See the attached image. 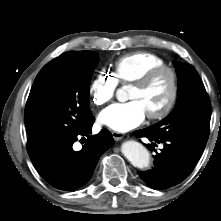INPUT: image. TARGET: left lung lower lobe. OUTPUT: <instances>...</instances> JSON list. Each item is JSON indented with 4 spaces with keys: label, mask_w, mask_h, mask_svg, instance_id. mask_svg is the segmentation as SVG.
<instances>
[{
    "label": "left lung lower lobe",
    "mask_w": 221,
    "mask_h": 221,
    "mask_svg": "<svg viewBox=\"0 0 221 221\" xmlns=\"http://www.w3.org/2000/svg\"><path fill=\"white\" fill-rule=\"evenodd\" d=\"M139 137L162 143L161 152L154 156V167L148 171L138 172L141 179L151 188L163 190L182 182L192 172L205 145L192 140L175 137H156L150 127L135 132ZM154 149L156 144H146Z\"/></svg>",
    "instance_id": "0a47b994"
}]
</instances>
